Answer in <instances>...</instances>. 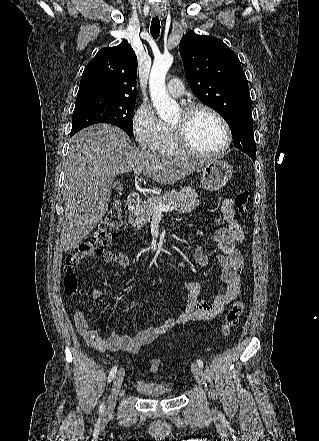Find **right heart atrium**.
Listing matches in <instances>:
<instances>
[{"instance_id":"right-heart-atrium-1","label":"right heart atrium","mask_w":319,"mask_h":441,"mask_svg":"<svg viewBox=\"0 0 319 441\" xmlns=\"http://www.w3.org/2000/svg\"><path fill=\"white\" fill-rule=\"evenodd\" d=\"M131 128L142 150L156 151L163 138V123L157 118L150 104H140L132 116Z\"/></svg>"}]
</instances>
